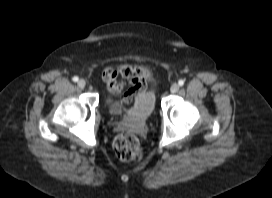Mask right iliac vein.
<instances>
[{"label":"right iliac vein","mask_w":272,"mask_h":198,"mask_svg":"<svg viewBox=\"0 0 272 198\" xmlns=\"http://www.w3.org/2000/svg\"><path fill=\"white\" fill-rule=\"evenodd\" d=\"M78 86H79L80 88H84V87L86 86V81H85L84 79H80V80L78 81Z\"/></svg>","instance_id":"1"}]
</instances>
